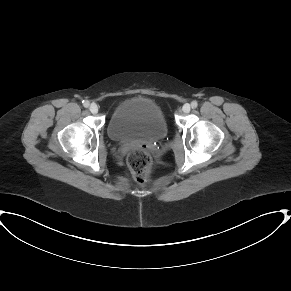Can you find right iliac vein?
Returning <instances> with one entry per match:
<instances>
[{
  "label": "right iliac vein",
  "mask_w": 291,
  "mask_h": 291,
  "mask_svg": "<svg viewBox=\"0 0 291 291\" xmlns=\"http://www.w3.org/2000/svg\"><path fill=\"white\" fill-rule=\"evenodd\" d=\"M89 110H90L91 113L96 114V113H98V111H99V107H98L97 104L92 103V104L90 105V107H89Z\"/></svg>",
  "instance_id": "right-iliac-vein-1"
}]
</instances>
